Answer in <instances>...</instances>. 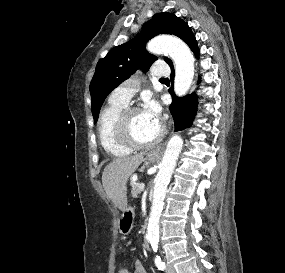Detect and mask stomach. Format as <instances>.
I'll return each instance as SVG.
<instances>
[{"mask_svg": "<svg viewBox=\"0 0 285 273\" xmlns=\"http://www.w3.org/2000/svg\"><path fill=\"white\" fill-rule=\"evenodd\" d=\"M158 157H159L158 154H156L155 152H150V153L147 154V157H146L145 160L147 162H154V161H156L158 159ZM133 218H134V209L129 207L124 212V215H123L122 220H121V226L123 227L127 220H131ZM120 231H121L122 234L126 235V234L129 233L130 230L125 229V228H121Z\"/></svg>", "mask_w": 285, "mask_h": 273, "instance_id": "stomach-1", "label": "stomach"}]
</instances>
